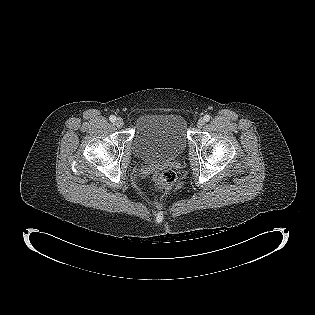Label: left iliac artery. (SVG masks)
Here are the masks:
<instances>
[{"label":"left iliac artery","mask_w":315,"mask_h":315,"mask_svg":"<svg viewBox=\"0 0 315 315\" xmlns=\"http://www.w3.org/2000/svg\"><path fill=\"white\" fill-rule=\"evenodd\" d=\"M204 120H205L206 122H208V121L210 120V116H209V115H205V116H204Z\"/></svg>","instance_id":"1"}]
</instances>
